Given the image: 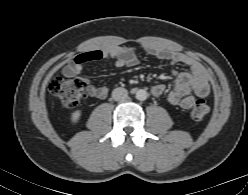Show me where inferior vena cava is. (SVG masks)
Segmentation results:
<instances>
[{"mask_svg": "<svg viewBox=\"0 0 248 195\" xmlns=\"http://www.w3.org/2000/svg\"><path fill=\"white\" fill-rule=\"evenodd\" d=\"M127 96H128V91L122 87L115 88L112 92V98L115 101H122L126 99Z\"/></svg>", "mask_w": 248, "mask_h": 195, "instance_id": "obj_1", "label": "inferior vena cava"}]
</instances>
